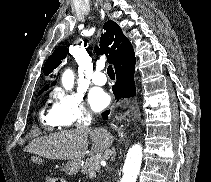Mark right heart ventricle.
<instances>
[{
	"mask_svg": "<svg viewBox=\"0 0 211 182\" xmlns=\"http://www.w3.org/2000/svg\"><path fill=\"white\" fill-rule=\"evenodd\" d=\"M39 119L41 124L48 130H54L62 127V125H60V123L54 117L52 110H46L43 108L40 112Z\"/></svg>",
	"mask_w": 211,
	"mask_h": 182,
	"instance_id": "right-heart-ventricle-1",
	"label": "right heart ventricle"
}]
</instances>
